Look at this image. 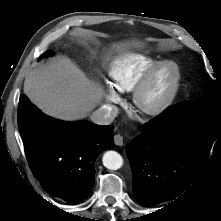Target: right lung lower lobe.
Instances as JSON below:
<instances>
[{
    "label": "right lung lower lobe",
    "instance_id": "98d812e1",
    "mask_svg": "<svg viewBox=\"0 0 221 221\" xmlns=\"http://www.w3.org/2000/svg\"><path fill=\"white\" fill-rule=\"evenodd\" d=\"M18 126L31 171L53 196L83 200L94 185V163L113 146L114 126L63 122L45 115L21 95Z\"/></svg>",
    "mask_w": 221,
    "mask_h": 221
}]
</instances>
